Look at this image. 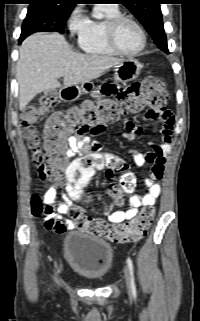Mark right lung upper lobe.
Here are the masks:
<instances>
[{
    "label": "right lung upper lobe",
    "mask_w": 200,
    "mask_h": 321,
    "mask_svg": "<svg viewBox=\"0 0 200 321\" xmlns=\"http://www.w3.org/2000/svg\"><path fill=\"white\" fill-rule=\"evenodd\" d=\"M30 5H49L58 9H68L72 10L80 0H29Z\"/></svg>",
    "instance_id": "1"
}]
</instances>
